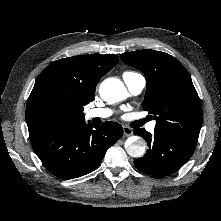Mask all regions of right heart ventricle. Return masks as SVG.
I'll return each mask as SVG.
<instances>
[{
	"label": "right heart ventricle",
	"instance_id": "1",
	"mask_svg": "<svg viewBox=\"0 0 221 221\" xmlns=\"http://www.w3.org/2000/svg\"><path fill=\"white\" fill-rule=\"evenodd\" d=\"M127 73L130 74V73H132V72H126V73H124V74H127Z\"/></svg>",
	"mask_w": 221,
	"mask_h": 221
}]
</instances>
